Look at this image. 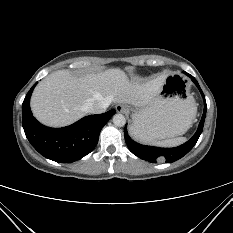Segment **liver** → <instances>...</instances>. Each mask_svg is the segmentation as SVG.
Masks as SVG:
<instances>
[{
	"mask_svg": "<svg viewBox=\"0 0 233 233\" xmlns=\"http://www.w3.org/2000/svg\"><path fill=\"white\" fill-rule=\"evenodd\" d=\"M168 74L139 81L131 80L121 69L76 77L68 70L49 74L31 97L34 116L52 127L70 125L89 113V105L105 99L134 107L148 105L162 88Z\"/></svg>",
	"mask_w": 233,
	"mask_h": 233,
	"instance_id": "1",
	"label": "liver"
}]
</instances>
